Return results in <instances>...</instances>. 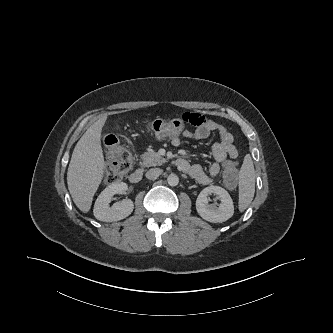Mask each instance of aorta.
<instances>
[{
    "label": "aorta",
    "instance_id": "obj_1",
    "mask_svg": "<svg viewBox=\"0 0 333 333\" xmlns=\"http://www.w3.org/2000/svg\"><path fill=\"white\" fill-rule=\"evenodd\" d=\"M167 182L170 186H177L179 183V177L176 174H170L167 178Z\"/></svg>",
    "mask_w": 333,
    "mask_h": 333
}]
</instances>
